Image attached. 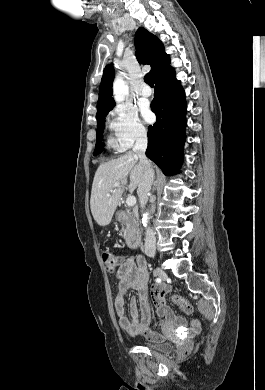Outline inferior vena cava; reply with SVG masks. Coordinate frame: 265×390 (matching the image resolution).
<instances>
[{
    "instance_id": "obj_1",
    "label": "inferior vena cava",
    "mask_w": 265,
    "mask_h": 390,
    "mask_svg": "<svg viewBox=\"0 0 265 390\" xmlns=\"http://www.w3.org/2000/svg\"><path fill=\"white\" fill-rule=\"evenodd\" d=\"M147 135L142 132L138 135L136 139L135 146L133 148L134 153L139 157L140 163L143 166V177L138 186V195L140 206L142 209L145 208V205L148 202V194L150 192L153 180H154V171L151 167L149 160L145 155L147 149ZM156 251V237L155 233L151 228H148L146 232L144 253L147 256H154Z\"/></svg>"
}]
</instances>
